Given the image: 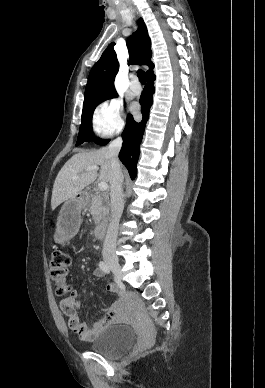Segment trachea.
Segmentation results:
<instances>
[{"instance_id": "obj_1", "label": "trachea", "mask_w": 265, "mask_h": 388, "mask_svg": "<svg viewBox=\"0 0 265 388\" xmlns=\"http://www.w3.org/2000/svg\"><path fill=\"white\" fill-rule=\"evenodd\" d=\"M137 76L141 83L143 84L146 83L147 77H146V73L143 70H138Z\"/></svg>"}]
</instances>
